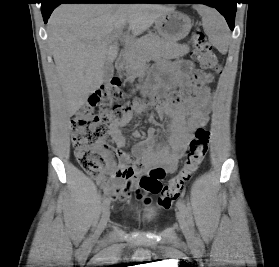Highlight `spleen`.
<instances>
[{"mask_svg": "<svg viewBox=\"0 0 279 267\" xmlns=\"http://www.w3.org/2000/svg\"><path fill=\"white\" fill-rule=\"evenodd\" d=\"M194 8L202 17L203 28L209 41L220 52L225 53L230 35L223 17L215 9L205 5H195Z\"/></svg>", "mask_w": 279, "mask_h": 267, "instance_id": "3e777b00", "label": "spleen"}]
</instances>
